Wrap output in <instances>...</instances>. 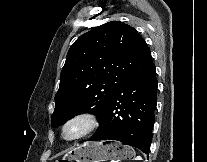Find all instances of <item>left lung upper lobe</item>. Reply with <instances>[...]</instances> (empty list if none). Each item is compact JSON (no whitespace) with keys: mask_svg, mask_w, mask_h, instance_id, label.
I'll list each match as a JSON object with an SVG mask.
<instances>
[{"mask_svg":"<svg viewBox=\"0 0 207 162\" xmlns=\"http://www.w3.org/2000/svg\"><path fill=\"white\" fill-rule=\"evenodd\" d=\"M149 51L138 32L120 21L81 35L70 47L61 71L52 126L84 112L99 119L116 89Z\"/></svg>","mask_w":207,"mask_h":162,"instance_id":"obj_1","label":"left lung upper lobe"}]
</instances>
